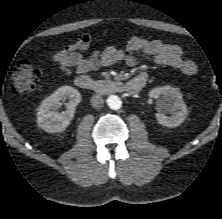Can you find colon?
Here are the masks:
<instances>
[{"mask_svg": "<svg viewBox=\"0 0 222 219\" xmlns=\"http://www.w3.org/2000/svg\"><path fill=\"white\" fill-rule=\"evenodd\" d=\"M44 74V69L36 66L30 59H22L12 69V88L16 93L33 90L39 85ZM212 85H216L214 79Z\"/></svg>", "mask_w": 222, "mask_h": 219, "instance_id": "colon-1", "label": "colon"}]
</instances>
